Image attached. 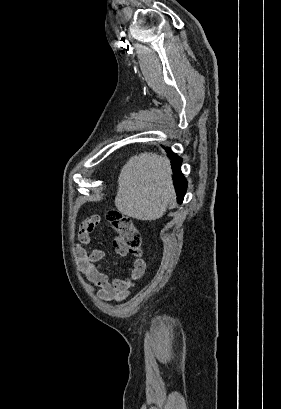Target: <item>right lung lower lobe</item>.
Listing matches in <instances>:
<instances>
[{
    "label": "right lung lower lobe",
    "instance_id": "98d812e1",
    "mask_svg": "<svg viewBox=\"0 0 281 409\" xmlns=\"http://www.w3.org/2000/svg\"><path fill=\"white\" fill-rule=\"evenodd\" d=\"M168 154L172 158L171 164H172V170H173L174 178H175V189H176V194H177V200L179 203H182L183 197L185 195L186 188H187L186 179L184 178L180 170V165L182 163V160L180 157L172 153L171 150H168Z\"/></svg>",
    "mask_w": 281,
    "mask_h": 409
}]
</instances>
